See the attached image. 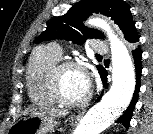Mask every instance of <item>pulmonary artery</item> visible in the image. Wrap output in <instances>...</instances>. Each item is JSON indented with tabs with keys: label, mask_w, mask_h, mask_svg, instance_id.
<instances>
[{
	"label": "pulmonary artery",
	"mask_w": 153,
	"mask_h": 134,
	"mask_svg": "<svg viewBox=\"0 0 153 134\" xmlns=\"http://www.w3.org/2000/svg\"><path fill=\"white\" fill-rule=\"evenodd\" d=\"M52 48L58 55H61V48L58 45H53ZM92 48H93V51L98 54H103V53H106L107 51L106 45L99 40H96L93 42Z\"/></svg>",
	"instance_id": "pulmonary-artery-1"
}]
</instances>
